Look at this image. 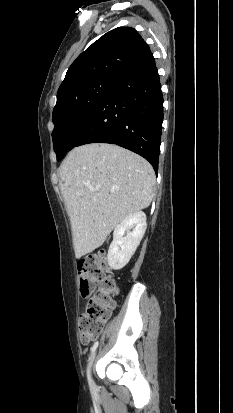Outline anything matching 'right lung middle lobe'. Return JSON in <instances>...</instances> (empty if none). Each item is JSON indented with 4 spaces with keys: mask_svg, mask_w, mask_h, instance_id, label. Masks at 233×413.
Wrapping results in <instances>:
<instances>
[{
    "mask_svg": "<svg viewBox=\"0 0 233 413\" xmlns=\"http://www.w3.org/2000/svg\"><path fill=\"white\" fill-rule=\"evenodd\" d=\"M116 77L96 78L57 99L53 109L54 151L60 161L78 133L107 94Z\"/></svg>",
    "mask_w": 233,
    "mask_h": 413,
    "instance_id": "right-lung-middle-lobe-1",
    "label": "right lung middle lobe"
}]
</instances>
